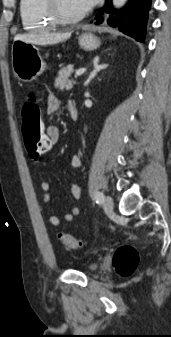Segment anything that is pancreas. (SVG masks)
Listing matches in <instances>:
<instances>
[{
	"mask_svg": "<svg viewBox=\"0 0 171 337\" xmlns=\"http://www.w3.org/2000/svg\"><path fill=\"white\" fill-rule=\"evenodd\" d=\"M73 72V66L68 65L66 67H63L59 73L58 76L55 80V88L60 89V90H70L73 87V84H75L74 81L69 80V77L71 73Z\"/></svg>",
	"mask_w": 171,
	"mask_h": 337,
	"instance_id": "cf45deb5",
	"label": "pancreas"
}]
</instances>
